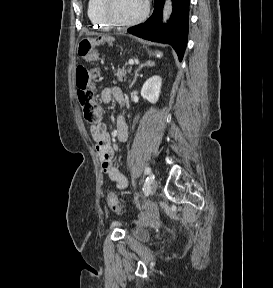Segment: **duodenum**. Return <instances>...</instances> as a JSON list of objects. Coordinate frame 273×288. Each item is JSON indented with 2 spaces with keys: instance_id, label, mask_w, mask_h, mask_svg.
<instances>
[{
  "instance_id": "obj_1",
  "label": "duodenum",
  "mask_w": 273,
  "mask_h": 288,
  "mask_svg": "<svg viewBox=\"0 0 273 288\" xmlns=\"http://www.w3.org/2000/svg\"><path fill=\"white\" fill-rule=\"evenodd\" d=\"M124 102H125V100H124V99H122L121 103H122V104H124Z\"/></svg>"
}]
</instances>
